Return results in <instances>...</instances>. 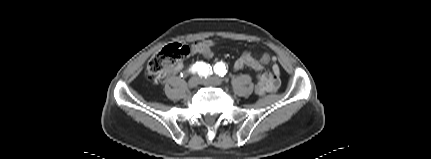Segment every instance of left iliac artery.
I'll return each mask as SVG.
<instances>
[{"label":"left iliac artery","mask_w":431,"mask_h":159,"mask_svg":"<svg viewBox=\"0 0 431 159\" xmlns=\"http://www.w3.org/2000/svg\"><path fill=\"white\" fill-rule=\"evenodd\" d=\"M214 72L216 74H218L219 76H221V77H223L224 75H226L227 69H226L225 63L218 62L217 64H215V66H214Z\"/></svg>","instance_id":"44dca946"}]
</instances>
